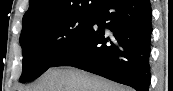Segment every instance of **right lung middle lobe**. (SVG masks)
Segmentation results:
<instances>
[{"label": "right lung middle lobe", "instance_id": "right-lung-middle-lobe-1", "mask_svg": "<svg viewBox=\"0 0 173 91\" xmlns=\"http://www.w3.org/2000/svg\"><path fill=\"white\" fill-rule=\"evenodd\" d=\"M94 10H87L38 22L22 29L20 45L23 54L24 83L42 75L85 34Z\"/></svg>", "mask_w": 173, "mask_h": 91}]
</instances>
